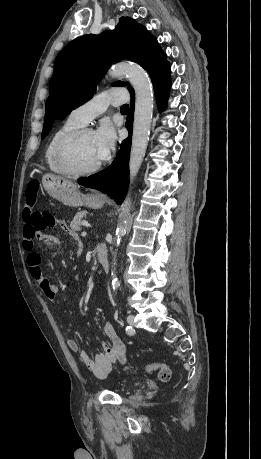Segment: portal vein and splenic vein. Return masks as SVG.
<instances>
[{"instance_id": "1", "label": "portal vein and splenic vein", "mask_w": 261, "mask_h": 459, "mask_svg": "<svg viewBox=\"0 0 261 459\" xmlns=\"http://www.w3.org/2000/svg\"><path fill=\"white\" fill-rule=\"evenodd\" d=\"M82 224H83L84 226H86V227H91V225L88 224L87 222H83Z\"/></svg>"}]
</instances>
